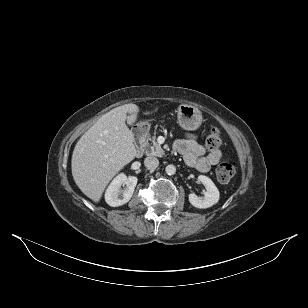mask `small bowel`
Wrapping results in <instances>:
<instances>
[{"instance_id":"small-bowel-1","label":"small bowel","mask_w":308,"mask_h":308,"mask_svg":"<svg viewBox=\"0 0 308 308\" xmlns=\"http://www.w3.org/2000/svg\"><path fill=\"white\" fill-rule=\"evenodd\" d=\"M174 149L183 156L185 163L199 172H207L221 160V151H209L197 142L193 133H187L183 139L175 142Z\"/></svg>"}]
</instances>
